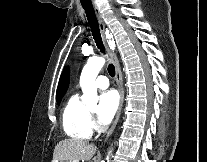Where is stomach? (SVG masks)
<instances>
[{"instance_id": "1", "label": "stomach", "mask_w": 207, "mask_h": 162, "mask_svg": "<svg viewBox=\"0 0 207 162\" xmlns=\"http://www.w3.org/2000/svg\"><path fill=\"white\" fill-rule=\"evenodd\" d=\"M56 162H66V161H62V160H56Z\"/></svg>"}]
</instances>
